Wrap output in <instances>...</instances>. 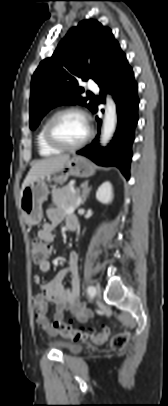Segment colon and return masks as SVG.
I'll use <instances>...</instances> for the list:
<instances>
[{"instance_id":"colon-1","label":"colon","mask_w":168,"mask_h":406,"mask_svg":"<svg viewBox=\"0 0 168 406\" xmlns=\"http://www.w3.org/2000/svg\"><path fill=\"white\" fill-rule=\"evenodd\" d=\"M32 250V260L36 265H43L48 261L49 256L51 255L52 248L49 244L44 243L40 239H33L31 243ZM54 328L62 336L70 338L74 341H88L93 344H103L108 338V333H92L85 332L81 329L73 327L69 322L65 321H55ZM129 334L127 332H122L115 335L111 340V347L114 351H122L125 349L128 342Z\"/></svg>"}]
</instances>
